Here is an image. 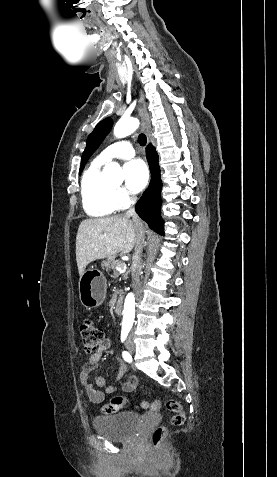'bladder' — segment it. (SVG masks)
<instances>
[{
    "label": "bladder",
    "instance_id": "1",
    "mask_svg": "<svg viewBox=\"0 0 277 477\" xmlns=\"http://www.w3.org/2000/svg\"><path fill=\"white\" fill-rule=\"evenodd\" d=\"M142 417L132 411L109 413L98 416L93 422L95 431L112 441H124L139 430Z\"/></svg>",
    "mask_w": 277,
    "mask_h": 477
}]
</instances>
